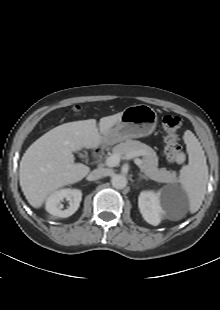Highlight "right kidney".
I'll return each mask as SVG.
<instances>
[{
  "instance_id": "1",
  "label": "right kidney",
  "mask_w": 220,
  "mask_h": 310,
  "mask_svg": "<svg viewBox=\"0 0 220 310\" xmlns=\"http://www.w3.org/2000/svg\"><path fill=\"white\" fill-rule=\"evenodd\" d=\"M66 199L69 207L62 210L61 202ZM82 192L78 189L64 188L54 191L46 200V211L53 216L66 218L74 214L80 206Z\"/></svg>"
}]
</instances>
